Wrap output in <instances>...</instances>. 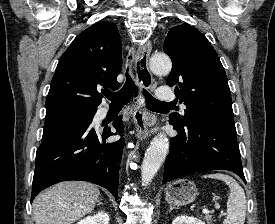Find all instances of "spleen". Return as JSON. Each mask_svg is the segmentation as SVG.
Masks as SVG:
<instances>
[{
    "label": "spleen",
    "instance_id": "3e777b00",
    "mask_svg": "<svg viewBox=\"0 0 275 224\" xmlns=\"http://www.w3.org/2000/svg\"><path fill=\"white\" fill-rule=\"evenodd\" d=\"M203 177L222 180L230 189L227 200V217L223 224H244L247 201L245 192L239 183L231 176L222 173L204 175Z\"/></svg>",
    "mask_w": 275,
    "mask_h": 224
}]
</instances>
